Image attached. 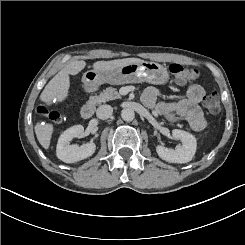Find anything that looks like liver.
Instances as JSON below:
<instances>
[{
	"instance_id": "liver-1",
	"label": "liver",
	"mask_w": 245,
	"mask_h": 245,
	"mask_svg": "<svg viewBox=\"0 0 245 245\" xmlns=\"http://www.w3.org/2000/svg\"><path fill=\"white\" fill-rule=\"evenodd\" d=\"M143 62L145 61L139 58L95 61L92 63V69L94 71H110L127 65L140 64ZM85 67L86 62L84 60H76L67 64L47 83L39 97V100L45 105H51L52 103H63L69 96V75H78L82 70H84ZM34 132L39 144L45 150H48L54 132L53 124L43 125L40 121H37L34 125Z\"/></svg>"
}]
</instances>
